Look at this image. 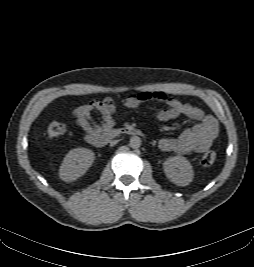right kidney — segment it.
I'll return each mask as SVG.
<instances>
[{
  "mask_svg": "<svg viewBox=\"0 0 254 267\" xmlns=\"http://www.w3.org/2000/svg\"><path fill=\"white\" fill-rule=\"evenodd\" d=\"M94 152L86 148L72 149L65 156L59 176L65 182H72L83 176L94 162Z\"/></svg>",
  "mask_w": 254,
  "mask_h": 267,
  "instance_id": "obj_1",
  "label": "right kidney"
}]
</instances>
